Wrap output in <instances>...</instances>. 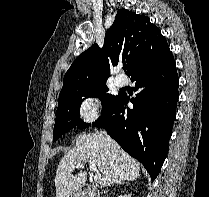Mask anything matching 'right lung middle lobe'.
<instances>
[{
  "label": "right lung middle lobe",
  "mask_w": 209,
  "mask_h": 197,
  "mask_svg": "<svg viewBox=\"0 0 209 197\" xmlns=\"http://www.w3.org/2000/svg\"><path fill=\"white\" fill-rule=\"evenodd\" d=\"M108 92L106 82L94 84H81L66 87L61 90L56 111V120L53 131V140H57L66 131L79 127L85 128L89 124L80 119L79 111L81 103L87 97H99L102 102V113L119 98Z\"/></svg>",
  "instance_id": "dd1d6c3e"
}]
</instances>
